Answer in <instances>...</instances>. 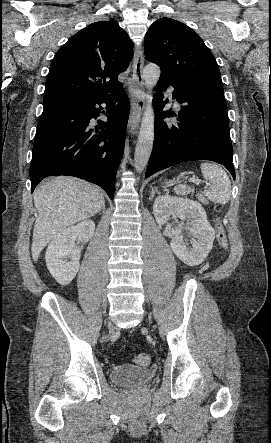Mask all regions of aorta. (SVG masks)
Returning <instances> with one entry per match:
<instances>
[{
	"instance_id": "aorta-1",
	"label": "aorta",
	"mask_w": 271,
	"mask_h": 443,
	"mask_svg": "<svg viewBox=\"0 0 271 443\" xmlns=\"http://www.w3.org/2000/svg\"><path fill=\"white\" fill-rule=\"evenodd\" d=\"M160 68L156 64H147L144 68V84L148 90L156 86L160 78ZM145 94L146 106L142 116L138 142L134 154V168L137 172H143L151 156L154 142V110L152 108V98Z\"/></svg>"
}]
</instances>
